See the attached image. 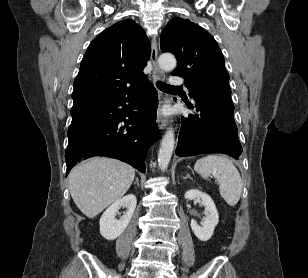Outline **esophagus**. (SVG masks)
<instances>
[{"instance_id": "1", "label": "esophagus", "mask_w": 308, "mask_h": 278, "mask_svg": "<svg viewBox=\"0 0 308 278\" xmlns=\"http://www.w3.org/2000/svg\"><path fill=\"white\" fill-rule=\"evenodd\" d=\"M157 59H158V45L156 37H153L151 41V62L153 66V80L155 83L157 81L163 80L165 77L164 73L158 66ZM158 97H159V103L161 104L163 102V97L160 91H158ZM156 122L159 129L161 130H163L168 124L167 118L163 117L161 114H158Z\"/></svg>"}]
</instances>
